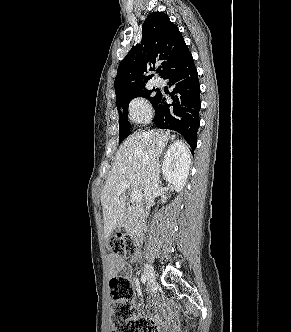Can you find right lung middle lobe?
I'll return each instance as SVG.
<instances>
[{"mask_svg":"<svg viewBox=\"0 0 291 332\" xmlns=\"http://www.w3.org/2000/svg\"><path fill=\"white\" fill-rule=\"evenodd\" d=\"M153 91L154 89L147 90L145 87H142L116 100V106L119 113V143H121L130 134V124L128 123L127 119L129 102L135 97H144L148 99L153 105L159 93V91L155 90L157 93L156 95L152 96Z\"/></svg>","mask_w":291,"mask_h":332,"instance_id":"1","label":"right lung middle lobe"}]
</instances>
